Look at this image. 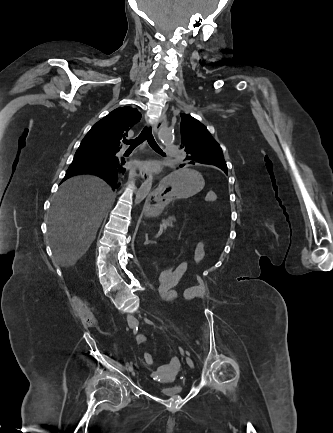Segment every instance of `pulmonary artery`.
<instances>
[{"instance_id":"pulmonary-artery-1","label":"pulmonary artery","mask_w":333,"mask_h":433,"mask_svg":"<svg viewBox=\"0 0 333 433\" xmlns=\"http://www.w3.org/2000/svg\"><path fill=\"white\" fill-rule=\"evenodd\" d=\"M125 151V150H124ZM176 148L174 145L166 144L165 145V152L167 155L172 156L175 154Z\"/></svg>"}]
</instances>
